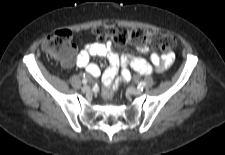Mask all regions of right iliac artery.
I'll use <instances>...</instances> for the list:
<instances>
[{"label": "right iliac artery", "instance_id": "1", "mask_svg": "<svg viewBox=\"0 0 225 155\" xmlns=\"http://www.w3.org/2000/svg\"><path fill=\"white\" fill-rule=\"evenodd\" d=\"M82 83H83L84 85H86V84H87V79H83V80H82Z\"/></svg>", "mask_w": 225, "mask_h": 155}]
</instances>
